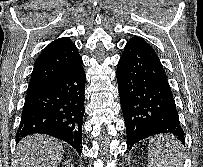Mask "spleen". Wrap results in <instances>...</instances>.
Wrapping results in <instances>:
<instances>
[{
    "mask_svg": "<svg viewBox=\"0 0 203 167\" xmlns=\"http://www.w3.org/2000/svg\"><path fill=\"white\" fill-rule=\"evenodd\" d=\"M182 149L174 137L152 138L148 148V167H181Z\"/></svg>",
    "mask_w": 203,
    "mask_h": 167,
    "instance_id": "1",
    "label": "spleen"
}]
</instances>
